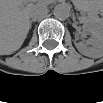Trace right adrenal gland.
Instances as JSON below:
<instances>
[{"mask_svg": "<svg viewBox=\"0 0 103 103\" xmlns=\"http://www.w3.org/2000/svg\"><path fill=\"white\" fill-rule=\"evenodd\" d=\"M33 22H34L33 20L30 21L29 28H31Z\"/></svg>", "mask_w": 103, "mask_h": 103, "instance_id": "right-adrenal-gland-1", "label": "right adrenal gland"}]
</instances>
